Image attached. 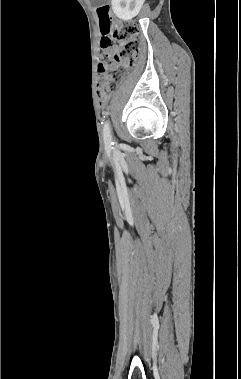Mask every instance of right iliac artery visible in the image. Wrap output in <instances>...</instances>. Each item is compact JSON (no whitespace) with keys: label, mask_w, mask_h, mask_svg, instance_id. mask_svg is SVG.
Segmentation results:
<instances>
[{"label":"right iliac artery","mask_w":241,"mask_h":379,"mask_svg":"<svg viewBox=\"0 0 241 379\" xmlns=\"http://www.w3.org/2000/svg\"><path fill=\"white\" fill-rule=\"evenodd\" d=\"M103 132H104V140H105L106 147L108 149H111L113 146V142H112L110 124L108 121L104 125Z\"/></svg>","instance_id":"1"}]
</instances>
